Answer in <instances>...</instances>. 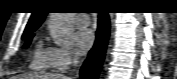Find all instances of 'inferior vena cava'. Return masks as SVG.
<instances>
[{"instance_id":"inferior-vena-cava-1","label":"inferior vena cava","mask_w":177,"mask_h":79,"mask_svg":"<svg viewBox=\"0 0 177 79\" xmlns=\"http://www.w3.org/2000/svg\"><path fill=\"white\" fill-rule=\"evenodd\" d=\"M73 64H74V65L77 64V59H76V58L73 59Z\"/></svg>"}]
</instances>
